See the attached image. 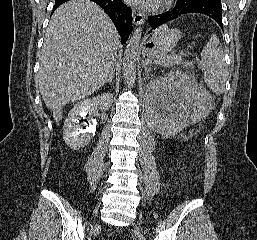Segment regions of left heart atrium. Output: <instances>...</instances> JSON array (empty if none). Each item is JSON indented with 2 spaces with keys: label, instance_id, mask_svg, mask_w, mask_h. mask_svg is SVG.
<instances>
[{
  "label": "left heart atrium",
  "instance_id": "obj_1",
  "mask_svg": "<svg viewBox=\"0 0 257 240\" xmlns=\"http://www.w3.org/2000/svg\"><path fill=\"white\" fill-rule=\"evenodd\" d=\"M128 3L143 9H150L157 5L159 0H126Z\"/></svg>",
  "mask_w": 257,
  "mask_h": 240
}]
</instances>
